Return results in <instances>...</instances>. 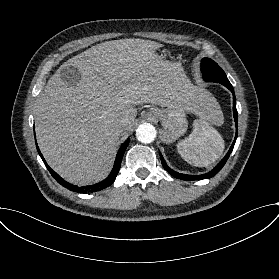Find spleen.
<instances>
[{"instance_id":"1","label":"spleen","mask_w":279,"mask_h":279,"mask_svg":"<svg viewBox=\"0 0 279 279\" xmlns=\"http://www.w3.org/2000/svg\"><path fill=\"white\" fill-rule=\"evenodd\" d=\"M200 97L201 118L194 121L193 132L177 144V149L184 159L188 157L185 159L188 163L206 167L223 154L224 140L212 125H222L224 117L219 103L209 92L202 90Z\"/></svg>"}]
</instances>
